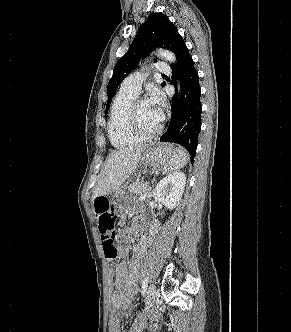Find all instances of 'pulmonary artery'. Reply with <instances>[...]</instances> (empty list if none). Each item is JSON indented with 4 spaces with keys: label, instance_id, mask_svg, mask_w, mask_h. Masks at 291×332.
I'll return each instance as SVG.
<instances>
[{
    "label": "pulmonary artery",
    "instance_id": "obj_1",
    "mask_svg": "<svg viewBox=\"0 0 291 332\" xmlns=\"http://www.w3.org/2000/svg\"><path fill=\"white\" fill-rule=\"evenodd\" d=\"M155 69L163 74L171 72L169 65L165 62H158L155 64ZM145 79V74L141 71H136L124 79L121 89L137 94Z\"/></svg>",
    "mask_w": 291,
    "mask_h": 332
}]
</instances>
